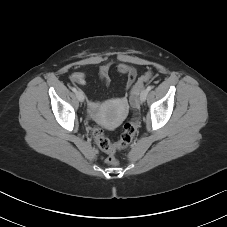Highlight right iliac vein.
<instances>
[{
    "mask_svg": "<svg viewBox=\"0 0 227 227\" xmlns=\"http://www.w3.org/2000/svg\"><path fill=\"white\" fill-rule=\"evenodd\" d=\"M76 97H77V99H78L80 102H83L84 99H85V95H84V93H83L81 90H78V91L76 92Z\"/></svg>",
    "mask_w": 227,
    "mask_h": 227,
    "instance_id": "63e3f726",
    "label": "right iliac vein"
}]
</instances>
